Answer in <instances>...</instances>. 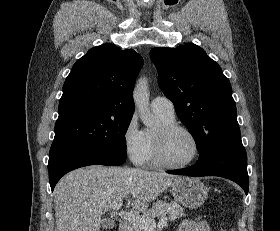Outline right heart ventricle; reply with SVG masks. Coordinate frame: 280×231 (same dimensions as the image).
<instances>
[{
	"mask_svg": "<svg viewBox=\"0 0 280 231\" xmlns=\"http://www.w3.org/2000/svg\"><path fill=\"white\" fill-rule=\"evenodd\" d=\"M158 116L161 118L163 123H173L175 122V117L174 118H169L163 115L158 114ZM146 137H147V142H148V152L145 161L151 165H158L159 163L156 160L155 156V134L151 131H146Z\"/></svg>",
	"mask_w": 280,
	"mask_h": 231,
	"instance_id": "obj_1",
	"label": "right heart ventricle"
}]
</instances>
